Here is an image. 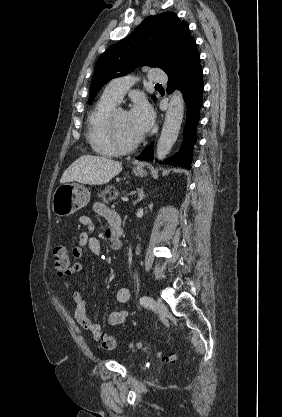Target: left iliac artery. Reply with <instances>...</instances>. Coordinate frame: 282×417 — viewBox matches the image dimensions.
I'll use <instances>...</instances> for the list:
<instances>
[{"mask_svg": "<svg viewBox=\"0 0 282 417\" xmlns=\"http://www.w3.org/2000/svg\"><path fill=\"white\" fill-rule=\"evenodd\" d=\"M140 304L145 307H149L152 310H155L156 307L154 299L149 296H143L142 298H140Z\"/></svg>", "mask_w": 282, "mask_h": 417, "instance_id": "left-iliac-artery-1", "label": "left iliac artery"}]
</instances>
